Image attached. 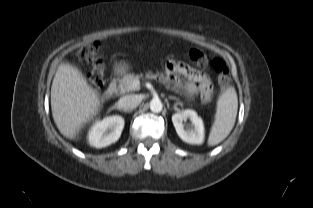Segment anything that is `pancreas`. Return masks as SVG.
Masks as SVG:
<instances>
[{"label": "pancreas", "instance_id": "pancreas-1", "mask_svg": "<svg viewBox=\"0 0 313 208\" xmlns=\"http://www.w3.org/2000/svg\"><path fill=\"white\" fill-rule=\"evenodd\" d=\"M159 74H147V78L149 79H156ZM140 76L134 74H126L123 76L122 79L119 80V85L115 91L117 95H122L131 91H138L140 89L139 86H134L133 82L138 80ZM160 81H164V79L160 76Z\"/></svg>", "mask_w": 313, "mask_h": 208}]
</instances>
